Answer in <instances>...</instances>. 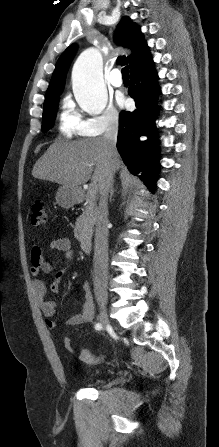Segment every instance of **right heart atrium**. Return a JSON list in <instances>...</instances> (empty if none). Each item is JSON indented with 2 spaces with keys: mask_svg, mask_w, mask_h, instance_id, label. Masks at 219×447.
<instances>
[{
  "mask_svg": "<svg viewBox=\"0 0 219 447\" xmlns=\"http://www.w3.org/2000/svg\"><path fill=\"white\" fill-rule=\"evenodd\" d=\"M120 122L119 112L114 107H108L101 115L85 121V127L90 135H101L114 129Z\"/></svg>",
  "mask_w": 219,
  "mask_h": 447,
  "instance_id": "1",
  "label": "right heart atrium"
}]
</instances>
